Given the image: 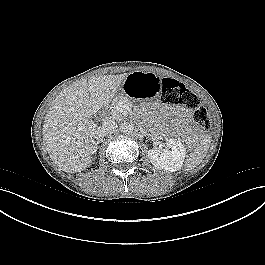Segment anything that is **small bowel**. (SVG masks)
I'll return each instance as SVG.
<instances>
[{
  "mask_svg": "<svg viewBox=\"0 0 265 265\" xmlns=\"http://www.w3.org/2000/svg\"><path fill=\"white\" fill-rule=\"evenodd\" d=\"M175 113L181 118H186L189 115V112L182 107L175 109Z\"/></svg>",
  "mask_w": 265,
  "mask_h": 265,
  "instance_id": "c3829d8e",
  "label": "small bowel"
}]
</instances>
